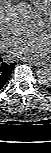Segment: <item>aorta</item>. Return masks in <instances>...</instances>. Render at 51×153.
<instances>
[{"label":"aorta","instance_id":"1","mask_svg":"<svg viewBox=\"0 0 51 153\" xmlns=\"http://www.w3.org/2000/svg\"><path fill=\"white\" fill-rule=\"evenodd\" d=\"M8 25L16 33L31 34L41 25L39 12L30 4L21 2L13 6L8 13ZM39 83L49 86L51 84V68L46 66L37 72Z\"/></svg>","mask_w":51,"mask_h":153}]
</instances>
